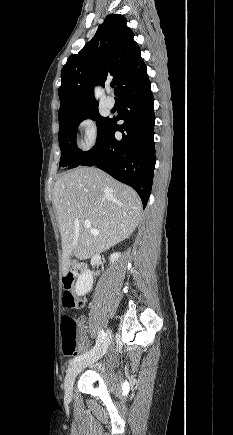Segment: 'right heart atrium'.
<instances>
[{"instance_id": "d8ad5b80", "label": "right heart atrium", "mask_w": 233, "mask_h": 435, "mask_svg": "<svg viewBox=\"0 0 233 435\" xmlns=\"http://www.w3.org/2000/svg\"><path fill=\"white\" fill-rule=\"evenodd\" d=\"M79 128L83 134L81 147L84 149L93 147L98 138L96 121L91 117L84 118L81 120Z\"/></svg>"}]
</instances>
